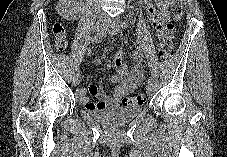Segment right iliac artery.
Returning <instances> with one entry per match:
<instances>
[{"instance_id":"right-iliac-artery-1","label":"right iliac artery","mask_w":227,"mask_h":157,"mask_svg":"<svg viewBox=\"0 0 227 157\" xmlns=\"http://www.w3.org/2000/svg\"><path fill=\"white\" fill-rule=\"evenodd\" d=\"M93 39L95 40L96 44H101V39L99 36H94ZM73 70H79V65H73ZM78 72V71H77Z\"/></svg>"}]
</instances>
